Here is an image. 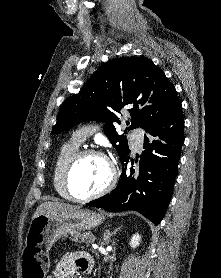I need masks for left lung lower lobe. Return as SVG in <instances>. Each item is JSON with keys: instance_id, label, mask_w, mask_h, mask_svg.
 Returning <instances> with one entry per match:
<instances>
[{"instance_id": "obj_1", "label": "left lung lower lobe", "mask_w": 221, "mask_h": 278, "mask_svg": "<svg viewBox=\"0 0 221 278\" xmlns=\"http://www.w3.org/2000/svg\"><path fill=\"white\" fill-rule=\"evenodd\" d=\"M144 151L127 170L128 155L121 158L117 187L86 205L109 212L133 210L159 224L171 200L178 161L184 142V117L180 100L158 121L145 128ZM132 163H134L132 161Z\"/></svg>"}]
</instances>
